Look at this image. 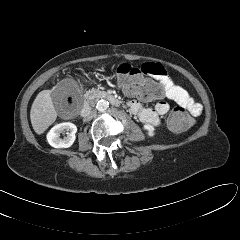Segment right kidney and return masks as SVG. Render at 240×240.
Listing matches in <instances>:
<instances>
[{"label": "right kidney", "instance_id": "obj_1", "mask_svg": "<svg viewBox=\"0 0 240 240\" xmlns=\"http://www.w3.org/2000/svg\"><path fill=\"white\" fill-rule=\"evenodd\" d=\"M64 131H67V136L62 139L60 138V133H63ZM76 132V125L70 122H63L55 125L48 132L47 141L54 148H68L74 143Z\"/></svg>", "mask_w": 240, "mask_h": 240}]
</instances>
